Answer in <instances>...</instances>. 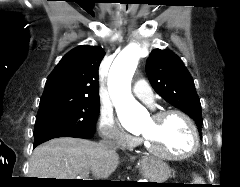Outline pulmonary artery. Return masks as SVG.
Segmentation results:
<instances>
[{
	"instance_id": "obj_1",
	"label": "pulmonary artery",
	"mask_w": 240,
	"mask_h": 187,
	"mask_svg": "<svg viewBox=\"0 0 240 187\" xmlns=\"http://www.w3.org/2000/svg\"><path fill=\"white\" fill-rule=\"evenodd\" d=\"M134 95L142 102L152 105L154 98L153 92L149 84L145 80H138L133 85Z\"/></svg>"
}]
</instances>
